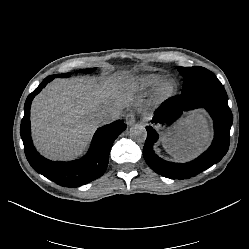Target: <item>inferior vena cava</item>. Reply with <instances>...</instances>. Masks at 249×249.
<instances>
[{"mask_svg":"<svg viewBox=\"0 0 249 249\" xmlns=\"http://www.w3.org/2000/svg\"><path fill=\"white\" fill-rule=\"evenodd\" d=\"M97 117L99 119V125H103L117 119L119 117V114L117 112L113 113L103 112V113H98Z\"/></svg>","mask_w":249,"mask_h":249,"instance_id":"1","label":"inferior vena cava"}]
</instances>
